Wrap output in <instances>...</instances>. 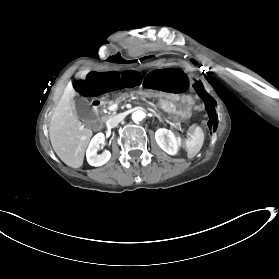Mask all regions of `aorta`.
<instances>
[{"label":"aorta","instance_id":"762f6f07","mask_svg":"<svg viewBox=\"0 0 279 279\" xmlns=\"http://www.w3.org/2000/svg\"><path fill=\"white\" fill-rule=\"evenodd\" d=\"M145 118V112L142 110H137L132 114V120L134 122L142 121Z\"/></svg>","mask_w":279,"mask_h":279}]
</instances>
